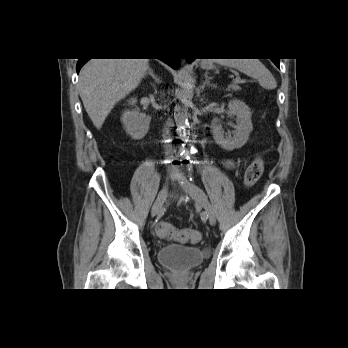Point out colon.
Instances as JSON below:
<instances>
[{"mask_svg":"<svg viewBox=\"0 0 348 348\" xmlns=\"http://www.w3.org/2000/svg\"><path fill=\"white\" fill-rule=\"evenodd\" d=\"M264 172V160L258 155L248 165L244 174V181L247 186H253ZM156 233L162 239H174L180 242L198 243L201 235L193 229L177 230L169 222H160L157 224Z\"/></svg>","mask_w":348,"mask_h":348,"instance_id":"obj_1","label":"colon"}]
</instances>
